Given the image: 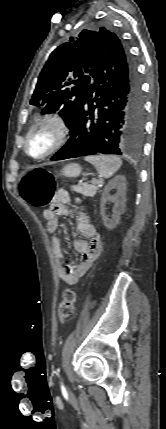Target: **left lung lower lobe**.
Here are the masks:
<instances>
[{"label": "left lung lower lobe", "instance_id": "left-lung-lower-lobe-1", "mask_svg": "<svg viewBox=\"0 0 166 429\" xmlns=\"http://www.w3.org/2000/svg\"><path fill=\"white\" fill-rule=\"evenodd\" d=\"M87 86L70 139L51 160L93 154L140 151L144 133V99L136 66L117 35L100 42L93 55Z\"/></svg>", "mask_w": 166, "mask_h": 429}]
</instances>
